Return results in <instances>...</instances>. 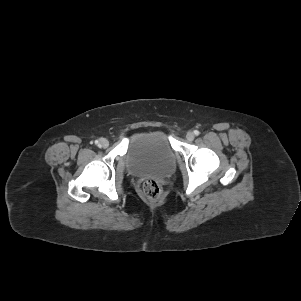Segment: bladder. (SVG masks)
<instances>
[{
	"label": "bladder",
	"mask_w": 301,
	"mask_h": 301,
	"mask_svg": "<svg viewBox=\"0 0 301 301\" xmlns=\"http://www.w3.org/2000/svg\"><path fill=\"white\" fill-rule=\"evenodd\" d=\"M176 167V156L167 135L158 129L131 138L126 154L127 171L134 176L168 177Z\"/></svg>",
	"instance_id": "obj_1"
}]
</instances>
